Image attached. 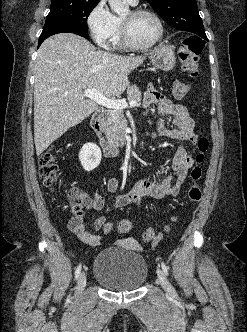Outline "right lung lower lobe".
<instances>
[{"instance_id": "right-lung-lower-lobe-1", "label": "right lung lower lobe", "mask_w": 247, "mask_h": 332, "mask_svg": "<svg viewBox=\"0 0 247 332\" xmlns=\"http://www.w3.org/2000/svg\"><path fill=\"white\" fill-rule=\"evenodd\" d=\"M63 32L74 33L82 37L89 38L88 29H83L74 24L66 22L47 23L44 25L43 31L39 37L38 47L46 38Z\"/></svg>"}]
</instances>
